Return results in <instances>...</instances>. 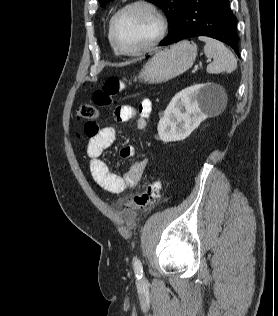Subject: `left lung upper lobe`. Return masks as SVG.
<instances>
[{"label": "left lung upper lobe", "instance_id": "5c2ea615", "mask_svg": "<svg viewBox=\"0 0 278 316\" xmlns=\"http://www.w3.org/2000/svg\"><path fill=\"white\" fill-rule=\"evenodd\" d=\"M109 0H99L101 6H104ZM153 4L160 7L167 15V19L169 22V34L173 31L176 23L178 21V17L182 10L185 0H148ZM168 34V35H169Z\"/></svg>", "mask_w": 278, "mask_h": 316}]
</instances>
